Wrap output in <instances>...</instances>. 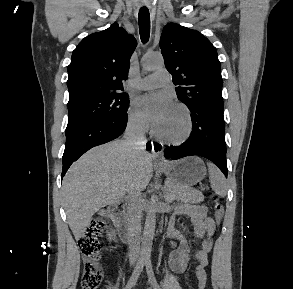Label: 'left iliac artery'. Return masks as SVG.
<instances>
[{
    "mask_svg": "<svg viewBox=\"0 0 293 289\" xmlns=\"http://www.w3.org/2000/svg\"><path fill=\"white\" fill-rule=\"evenodd\" d=\"M145 265H146L147 275H148L149 281H150L153 289H161L159 284L156 281L155 276H154V272H153L152 263H151L150 258H147L145 260Z\"/></svg>",
    "mask_w": 293,
    "mask_h": 289,
    "instance_id": "1",
    "label": "left iliac artery"
}]
</instances>
